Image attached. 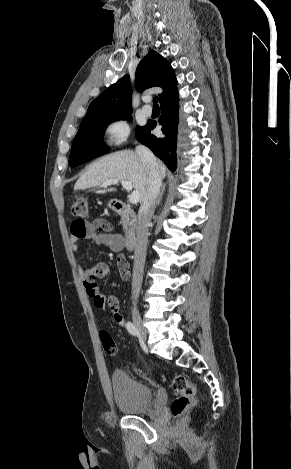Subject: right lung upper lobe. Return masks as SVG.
Returning a JSON list of instances; mask_svg holds the SVG:
<instances>
[{
	"mask_svg": "<svg viewBox=\"0 0 291 469\" xmlns=\"http://www.w3.org/2000/svg\"><path fill=\"white\" fill-rule=\"evenodd\" d=\"M136 84L140 92L151 87H161L160 103L177 92L175 73L169 62L151 50L139 63ZM132 112L129 77L124 76L93 100L84 120L111 117Z\"/></svg>",
	"mask_w": 291,
	"mask_h": 469,
	"instance_id": "obj_1",
	"label": "right lung upper lobe"
}]
</instances>
